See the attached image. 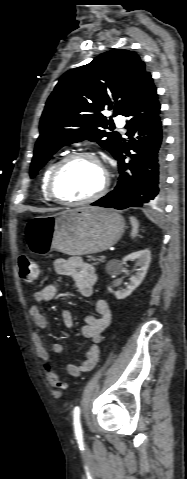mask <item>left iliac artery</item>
I'll use <instances>...</instances> for the list:
<instances>
[{"label": "left iliac artery", "instance_id": "44dca946", "mask_svg": "<svg viewBox=\"0 0 187 479\" xmlns=\"http://www.w3.org/2000/svg\"><path fill=\"white\" fill-rule=\"evenodd\" d=\"M73 421H74V429L75 435L79 441L82 440V428L80 423V408L76 406L73 410Z\"/></svg>", "mask_w": 187, "mask_h": 479}]
</instances>
